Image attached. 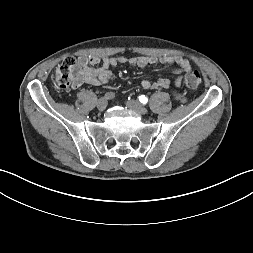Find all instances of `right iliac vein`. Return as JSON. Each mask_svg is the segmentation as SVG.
<instances>
[{"label":"right iliac vein","mask_w":253,"mask_h":253,"mask_svg":"<svg viewBox=\"0 0 253 253\" xmlns=\"http://www.w3.org/2000/svg\"><path fill=\"white\" fill-rule=\"evenodd\" d=\"M107 99L106 98H100L99 100H98V102H97V109L99 110V111H104L105 109H106V107H107Z\"/></svg>","instance_id":"obj_1"}]
</instances>
